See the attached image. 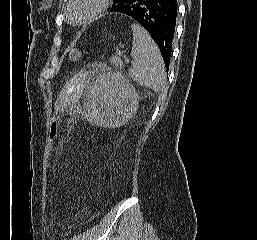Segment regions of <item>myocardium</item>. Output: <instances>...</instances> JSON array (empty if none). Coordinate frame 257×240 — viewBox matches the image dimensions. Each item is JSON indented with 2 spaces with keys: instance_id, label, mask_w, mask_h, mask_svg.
Here are the masks:
<instances>
[{
  "instance_id": "1",
  "label": "myocardium",
  "mask_w": 257,
  "mask_h": 240,
  "mask_svg": "<svg viewBox=\"0 0 257 240\" xmlns=\"http://www.w3.org/2000/svg\"><path fill=\"white\" fill-rule=\"evenodd\" d=\"M76 1L77 0H68L65 8L66 17L69 23H71L74 26H84L89 22L93 21L107 8L108 5V0H93L94 6L92 10L81 20L75 21L72 18L70 9Z\"/></svg>"
}]
</instances>
